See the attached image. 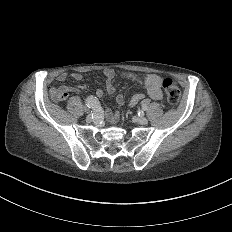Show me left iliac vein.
<instances>
[{"label": "left iliac vein", "instance_id": "left-iliac-vein-1", "mask_svg": "<svg viewBox=\"0 0 232 232\" xmlns=\"http://www.w3.org/2000/svg\"><path fill=\"white\" fill-rule=\"evenodd\" d=\"M133 121L138 122L141 126H147L148 125V120L147 119L134 117Z\"/></svg>", "mask_w": 232, "mask_h": 232}]
</instances>
